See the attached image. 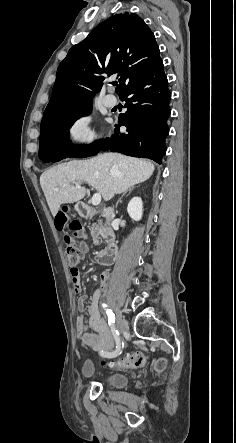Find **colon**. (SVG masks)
Returning <instances> with one entry per match:
<instances>
[{
    "label": "colon",
    "mask_w": 236,
    "mask_h": 443,
    "mask_svg": "<svg viewBox=\"0 0 236 443\" xmlns=\"http://www.w3.org/2000/svg\"><path fill=\"white\" fill-rule=\"evenodd\" d=\"M56 224L59 227H66L68 229V234L65 236V242L67 244L66 257L69 264L73 266L72 269H76L74 266L80 263L84 256V252L74 243L79 232L82 230V224L77 220L69 221L67 214L64 212L57 214ZM106 364L109 367L116 368H139L145 365V356L143 353L135 352L110 360ZM164 366V362L159 361L156 364V370L161 372Z\"/></svg>",
    "instance_id": "colon-1"
}]
</instances>
